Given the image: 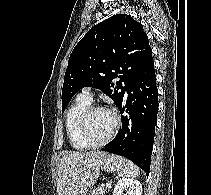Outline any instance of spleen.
Here are the masks:
<instances>
[{
	"label": "spleen",
	"mask_w": 211,
	"mask_h": 195,
	"mask_svg": "<svg viewBox=\"0 0 211 195\" xmlns=\"http://www.w3.org/2000/svg\"><path fill=\"white\" fill-rule=\"evenodd\" d=\"M139 174H140L139 168L130 161L127 162L125 169L122 171V176L125 177L134 178L137 177Z\"/></svg>",
	"instance_id": "obj_1"
}]
</instances>
